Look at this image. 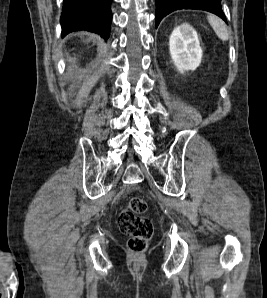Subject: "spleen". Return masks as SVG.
Returning a JSON list of instances; mask_svg holds the SVG:
<instances>
[{
  "instance_id": "obj_1",
  "label": "spleen",
  "mask_w": 267,
  "mask_h": 298,
  "mask_svg": "<svg viewBox=\"0 0 267 298\" xmlns=\"http://www.w3.org/2000/svg\"><path fill=\"white\" fill-rule=\"evenodd\" d=\"M207 19L218 38L222 41H228L229 33L224 21L215 15H209Z\"/></svg>"
}]
</instances>
